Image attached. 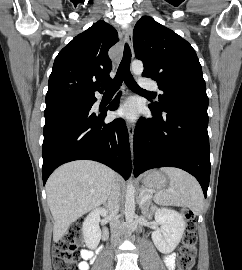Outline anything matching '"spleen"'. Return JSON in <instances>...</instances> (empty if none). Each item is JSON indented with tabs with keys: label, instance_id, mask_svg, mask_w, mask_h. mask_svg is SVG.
<instances>
[{
	"label": "spleen",
	"instance_id": "3e777b00",
	"mask_svg": "<svg viewBox=\"0 0 242 270\" xmlns=\"http://www.w3.org/2000/svg\"><path fill=\"white\" fill-rule=\"evenodd\" d=\"M162 171L168 175L170 187L159 191L155 196L156 201L166 205L188 207L194 214H200L204 197L197 180L178 168L166 167Z\"/></svg>",
	"mask_w": 242,
	"mask_h": 270
}]
</instances>
